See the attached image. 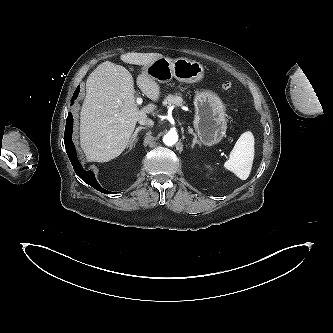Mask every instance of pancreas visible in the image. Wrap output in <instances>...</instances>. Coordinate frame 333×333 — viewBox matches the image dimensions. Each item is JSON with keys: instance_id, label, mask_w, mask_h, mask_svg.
Instances as JSON below:
<instances>
[{"instance_id": "pancreas-1", "label": "pancreas", "mask_w": 333, "mask_h": 333, "mask_svg": "<svg viewBox=\"0 0 333 333\" xmlns=\"http://www.w3.org/2000/svg\"><path fill=\"white\" fill-rule=\"evenodd\" d=\"M183 99L180 93H176L175 95H168L164 101L163 105H182Z\"/></svg>"}]
</instances>
